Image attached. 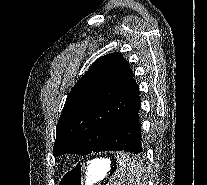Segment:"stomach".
I'll return each instance as SVG.
<instances>
[{
  "label": "stomach",
  "mask_w": 207,
  "mask_h": 185,
  "mask_svg": "<svg viewBox=\"0 0 207 185\" xmlns=\"http://www.w3.org/2000/svg\"><path fill=\"white\" fill-rule=\"evenodd\" d=\"M110 170V160L99 158L87 164L76 165L67 171L60 185H93L102 180Z\"/></svg>",
  "instance_id": "0dacf381"
}]
</instances>
